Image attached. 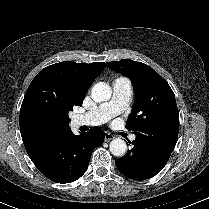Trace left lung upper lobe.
<instances>
[{"label":"left lung upper lobe","instance_id":"obj_1","mask_svg":"<svg viewBox=\"0 0 209 209\" xmlns=\"http://www.w3.org/2000/svg\"><path fill=\"white\" fill-rule=\"evenodd\" d=\"M129 77L135 102L125 128L137 134L178 137L179 112L169 84L148 65L131 59L107 63Z\"/></svg>","mask_w":209,"mask_h":209}]
</instances>
